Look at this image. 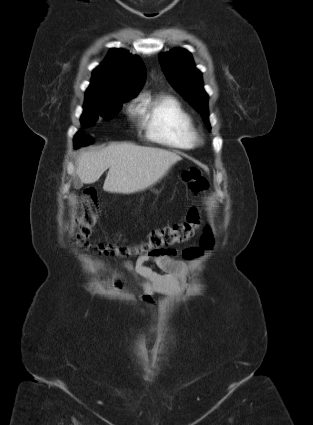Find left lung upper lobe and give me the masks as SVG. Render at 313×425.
I'll return each instance as SVG.
<instances>
[{"instance_id": "1", "label": "left lung upper lobe", "mask_w": 313, "mask_h": 425, "mask_svg": "<svg viewBox=\"0 0 313 425\" xmlns=\"http://www.w3.org/2000/svg\"><path fill=\"white\" fill-rule=\"evenodd\" d=\"M159 61L170 84L208 122V95L204 91L202 74L196 69L191 54L182 48L159 54Z\"/></svg>"}]
</instances>
